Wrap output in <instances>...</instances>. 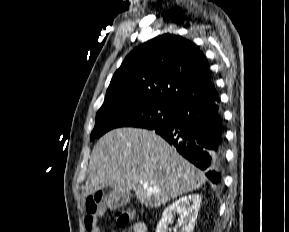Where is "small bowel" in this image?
Returning a JSON list of instances; mask_svg holds the SVG:
<instances>
[{
	"label": "small bowel",
	"instance_id": "1",
	"mask_svg": "<svg viewBox=\"0 0 289 232\" xmlns=\"http://www.w3.org/2000/svg\"><path fill=\"white\" fill-rule=\"evenodd\" d=\"M126 231L127 232H147V227L144 223L135 222L132 225H130Z\"/></svg>",
	"mask_w": 289,
	"mask_h": 232
}]
</instances>
